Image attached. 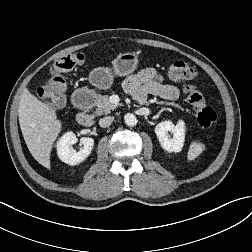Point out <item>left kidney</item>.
Returning <instances> with one entry per match:
<instances>
[{
    "instance_id": "5707ae66",
    "label": "left kidney",
    "mask_w": 252,
    "mask_h": 252,
    "mask_svg": "<svg viewBox=\"0 0 252 252\" xmlns=\"http://www.w3.org/2000/svg\"><path fill=\"white\" fill-rule=\"evenodd\" d=\"M170 132L172 137L168 134ZM156 136L161 147L168 152H180L185 141V123L179 120L176 125L164 121L155 127Z\"/></svg>"
}]
</instances>
